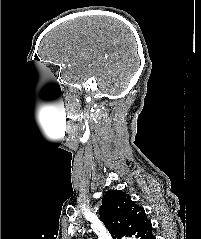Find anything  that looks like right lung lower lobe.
<instances>
[{
    "label": "right lung lower lobe",
    "mask_w": 201,
    "mask_h": 239,
    "mask_svg": "<svg viewBox=\"0 0 201 239\" xmlns=\"http://www.w3.org/2000/svg\"><path fill=\"white\" fill-rule=\"evenodd\" d=\"M152 239H155V237L152 235V237H151Z\"/></svg>",
    "instance_id": "right-lung-lower-lobe-1"
}]
</instances>
